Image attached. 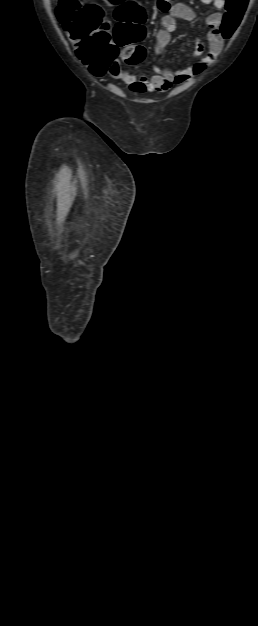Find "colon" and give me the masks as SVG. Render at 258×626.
Instances as JSON below:
<instances>
[{"instance_id": "5ec220e1", "label": "colon", "mask_w": 258, "mask_h": 626, "mask_svg": "<svg viewBox=\"0 0 258 626\" xmlns=\"http://www.w3.org/2000/svg\"><path fill=\"white\" fill-rule=\"evenodd\" d=\"M119 7L117 24L111 29L104 19L102 7L83 0H59L56 17L75 47L77 57L96 75H104L120 55L128 64H138L146 51L137 44L144 37L145 10L132 0H105ZM248 0H226L220 31L228 39L239 26Z\"/></svg>"}]
</instances>
